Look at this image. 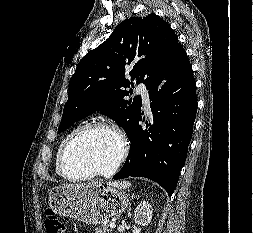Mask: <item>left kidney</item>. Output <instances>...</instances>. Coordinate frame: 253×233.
I'll return each instance as SVG.
<instances>
[{"label":"left kidney","mask_w":253,"mask_h":233,"mask_svg":"<svg viewBox=\"0 0 253 233\" xmlns=\"http://www.w3.org/2000/svg\"><path fill=\"white\" fill-rule=\"evenodd\" d=\"M153 210L149 202H141L134 211V221L140 226H147L152 220Z\"/></svg>","instance_id":"1"}]
</instances>
